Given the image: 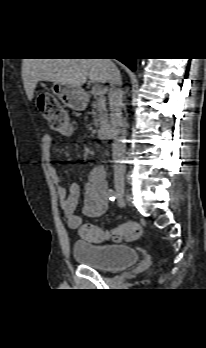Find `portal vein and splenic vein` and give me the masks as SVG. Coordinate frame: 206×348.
I'll return each mask as SVG.
<instances>
[{
    "label": "portal vein and splenic vein",
    "mask_w": 206,
    "mask_h": 348,
    "mask_svg": "<svg viewBox=\"0 0 206 348\" xmlns=\"http://www.w3.org/2000/svg\"><path fill=\"white\" fill-rule=\"evenodd\" d=\"M92 92L94 95L102 96L104 94V88L98 85H95L92 88Z\"/></svg>",
    "instance_id": "obj_1"
}]
</instances>
